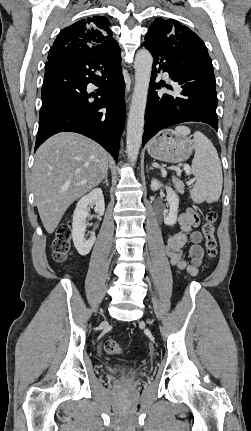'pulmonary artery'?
<instances>
[{
    "mask_svg": "<svg viewBox=\"0 0 251 431\" xmlns=\"http://www.w3.org/2000/svg\"><path fill=\"white\" fill-rule=\"evenodd\" d=\"M164 75H165L166 77H169V74H168L167 72H165V73H164Z\"/></svg>",
    "mask_w": 251,
    "mask_h": 431,
    "instance_id": "e3ab8cb5",
    "label": "pulmonary artery"
}]
</instances>
